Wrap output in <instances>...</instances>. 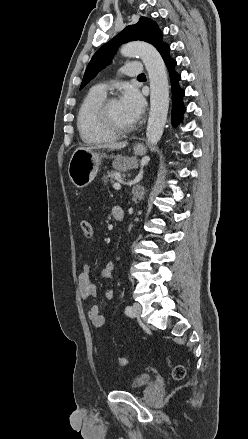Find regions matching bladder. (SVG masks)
Instances as JSON below:
<instances>
[{
	"label": "bladder",
	"mask_w": 248,
	"mask_h": 439,
	"mask_svg": "<svg viewBox=\"0 0 248 439\" xmlns=\"http://www.w3.org/2000/svg\"><path fill=\"white\" fill-rule=\"evenodd\" d=\"M151 381V375L149 373H141L137 375L128 385V390H136L148 385Z\"/></svg>",
	"instance_id": "bladder-1"
}]
</instances>
